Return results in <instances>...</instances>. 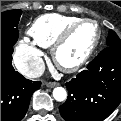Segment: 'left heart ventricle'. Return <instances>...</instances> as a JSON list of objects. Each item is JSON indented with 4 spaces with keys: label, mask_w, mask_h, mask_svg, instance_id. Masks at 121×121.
<instances>
[{
    "label": "left heart ventricle",
    "mask_w": 121,
    "mask_h": 121,
    "mask_svg": "<svg viewBox=\"0 0 121 121\" xmlns=\"http://www.w3.org/2000/svg\"><path fill=\"white\" fill-rule=\"evenodd\" d=\"M97 37L94 24L85 23L77 28L69 40L59 49L58 58L64 64L80 60L91 48Z\"/></svg>",
    "instance_id": "obj_1"
}]
</instances>
